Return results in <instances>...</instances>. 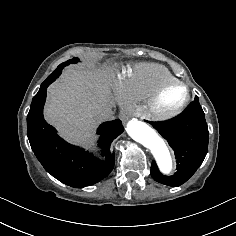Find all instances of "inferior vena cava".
<instances>
[{
	"instance_id": "inferior-vena-cava-1",
	"label": "inferior vena cava",
	"mask_w": 236,
	"mask_h": 236,
	"mask_svg": "<svg viewBox=\"0 0 236 236\" xmlns=\"http://www.w3.org/2000/svg\"><path fill=\"white\" fill-rule=\"evenodd\" d=\"M97 113L101 116L102 120H112V119H114L111 107H101L97 111Z\"/></svg>"
}]
</instances>
